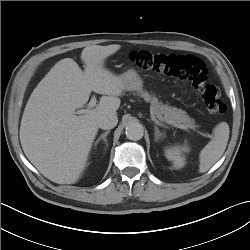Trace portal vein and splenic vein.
I'll return each mask as SVG.
<instances>
[{
	"label": "portal vein and splenic vein",
	"mask_w": 250,
	"mask_h": 250,
	"mask_svg": "<svg viewBox=\"0 0 250 250\" xmlns=\"http://www.w3.org/2000/svg\"><path fill=\"white\" fill-rule=\"evenodd\" d=\"M95 106H96V98H95V97H92L91 100H90V102L88 103L87 109L78 110V111L76 112V114H79V115L85 114L86 112H88V110H89L90 108H93V107H95ZM166 122H167L168 124H170V125H173V126L177 127V128L187 129V127L184 126V125H179V124H176V123L171 122V121H166ZM205 136L208 137V138H213V136H212L211 134H206Z\"/></svg>",
	"instance_id": "portal-vein-and-splenic-vein-1"
}]
</instances>
